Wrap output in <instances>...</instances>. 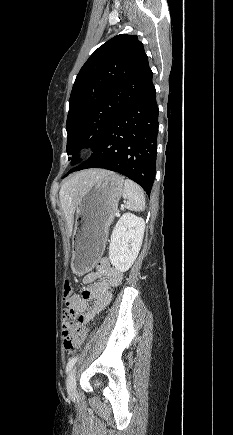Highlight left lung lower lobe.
I'll return each instance as SVG.
<instances>
[{
    "label": "left lung lower lobe",
    "instance_id": "0a47b994",
    "mask_svg": "<svg viewBox=\"0 0 233 435\" xmlns=\"http://www.w3.org/2000/svg\"><path fill=\"white\" fill-rule=\"evenodd\" d=\"M158 113L151 81L112 122L91 157L66 176L87 168H104L132 179L150 196L155 178Z\"/></svg>",
    "mask_w": 233,
    "mask_h": 435
}]
</instances>
